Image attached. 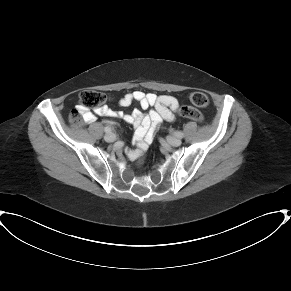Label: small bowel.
<instances>
[{"label":"small bowel","instance_id":"1","mask_svg":"<svg viewBox=\"0 0 291 291\" xmlns=\"http://www.w3.org/2000/svg\"><path fill=\"white\" fill-rule=\"evenodd\" d=\"M133 102H137L141 109L149 111L143 114L139 109L133 110L131 113H124L122 111H115L108 106H102L93 112L83 109L82 116L89 122H95V114L114 117L124 120L125 122L133 125L136 128L135 141L138 148L131 149L126 152L127 156L131 159H135L140 151L145 150L148 144L152 141L154 133L163 119L174 118V112L178 109L179 100L170 95L157 96L153 93H144L140 90L133 91L125 94L120 100V106H129ZM76 110L82 109L80 105H77ZM109 124L116 125L114 122L109 121Z\"/></svg>","mask_w":291,"mask_h":291}]
</instances>
